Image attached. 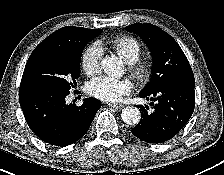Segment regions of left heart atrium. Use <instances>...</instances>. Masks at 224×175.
Returning <instances> with one entry per match:
<instances>
[{
    "mask_svg": "<svg viewBox=\"0 0 224 175\" xmlns=\"http://www.w3.org/2000/svg\"><path fill=\"white\" fill-rule=\"evenodd\" d=\"M131 90L132 84L129 80L108 76L95 78L88 85V92L92 96L109 102L121 100Z\"/></svg>",
    "mask_w": 224,
    "mask_h": 175,
    "instance_id": "left-heart-atrium-1",
    "label": "left heart atrium"
}]
</instances>
